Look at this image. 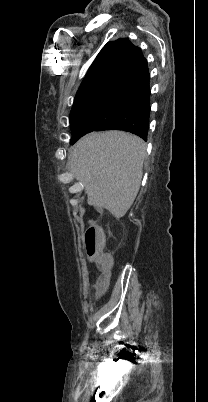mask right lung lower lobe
Here are the masks:
<instances>
[{
	"instance_id": "98d812e1",
	"label": "right lung lower lobe",
	"mask_w": 208,
	"mask_h": 402,
	"mask_svg": "<svg viewBox=\"0 0 208 402\" xmlns=\"http://www.w3.org/2000/svg\"><path fill=\"white\" fill-rule=\"evenodd\" d=\"M147 61L141 50L110 84L119 90L121 110L116 115L93 116L71 123L72 132L123 130L147 140L150 116V88Z\"/></svg>"
}]
</instances>
